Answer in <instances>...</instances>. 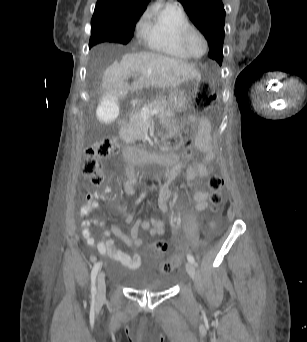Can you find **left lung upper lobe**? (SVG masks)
<instances>
[{
    "instance_id": "1",
    "label": "left lung upper lobe",
    "mask_w": 307,
    "mask_h": 342,
    "mask_svg": "<svg viewBox=\"0 0 307 342\" xmlns=\"http://www.w3.org/2000/svg\"><path fill=\"white\" fill-rule=\"evenodd\" d=\"M191 21L209 43L208 56L220 65L223 60L225 10L221 0H179Z\"/></svg>"
}]
</instances>
